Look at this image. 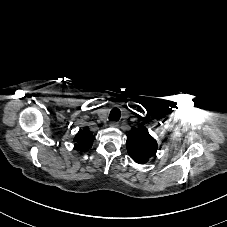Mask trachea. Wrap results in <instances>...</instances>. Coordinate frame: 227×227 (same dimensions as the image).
Wrapping results in <instances>:
<instances>
[{"mask_svg":"<svg viewBox=\"0 0 227 227\" xmlns=\"http://www.w3.org/2000/svg\"><path fill=\"white\" fill-rule=\"evenodd\" d=\"M121 117V111L118 108H113L109 114V122H117Z\"/></svg>","mask_w":227,"mask_h":227,"instance_id":"3493384b","label":"trachea"}]
</instances>
